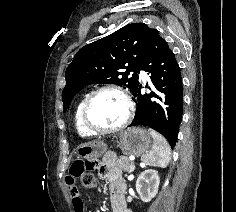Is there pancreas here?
<instances>
[{"label": "pancreas", "instance_id": "cf45deb5", "mask_svg": "<svg viewBox=\"0 0 236 212\" xmlns=\"http://www.w3.org/2000/svg\"><path fill=\"white\" fill-rule=\"evenodd\" d=\"M132 165H134V163L130 161L127 156H120L117 160V166L127 173H131L133 171L131 169Z\"/></svg>", "mask_w": 236, "mask_h": 212}]
</instances>
